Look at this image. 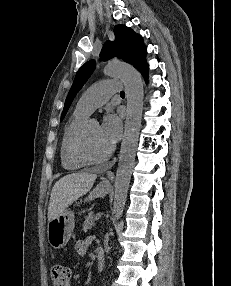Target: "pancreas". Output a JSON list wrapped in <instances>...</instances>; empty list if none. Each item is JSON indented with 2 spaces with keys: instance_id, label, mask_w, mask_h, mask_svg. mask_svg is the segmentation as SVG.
<instances>
[{
  "instance_id": "obj_1",
  "label": "pancreas",
  "mask_w": 231,
  "mask_h": 286,
  "mask_svg": "<svg viewBox=\"0 0 231 286\" xmlns=\"http://www.w3.org/2000/svg\"><path fill=\"white\" fill-rule=\"evenodd\" d=\"M94 215L93 213H89L86 217H85V221L83 223V230L87 231L88 229L92 228V226L95 225L94 223Z\"/></svg>"
}]
</instances>
